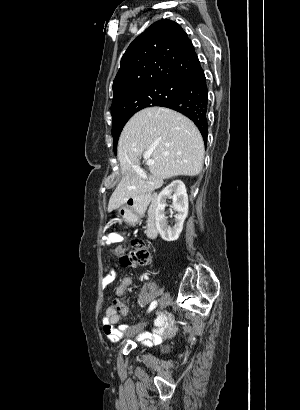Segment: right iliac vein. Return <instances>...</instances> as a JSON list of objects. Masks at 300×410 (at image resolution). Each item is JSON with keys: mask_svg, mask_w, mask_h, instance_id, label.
Returning a JSON list of instances; mask_svg holds the SVG:
<instances>
[{"mask_svg": "<svg viewBox=\"0 0 300 410\" xmlns=\"http://www.w3.org/2000/svg\"><path fill=\"white\" fill-rule=\"evenodd\" d=\"M169 300H170L169 294H168V293H165V294L161 297V299H160V301H159L158 308H159L160 310L164 309V308L168 305ZM144 326H145L144 323H141V324L136 325L135 327H133L131 333H137V332L141 331Z\"/></svg>", "mask_w": 300, "mask_h": 410, "instance_id": "right-iliac-vein-1", "label": "right iliac vein"}]
</instances>
